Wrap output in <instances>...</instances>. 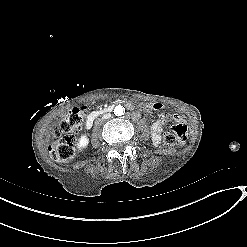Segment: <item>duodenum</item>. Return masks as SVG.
I'll return each mask as SVG.
<instances>
[{
	"label": "duodenum",
	"mask_w": 247,
	"mask_h": 247,
	"mask_svg": "<svg viewBox=\"0 0 247 247\" xmlns=\"http://www.w3.org/2000/svg\"><path fill=\"white\" fill-rule=\"evenodd\" d=\"M114 106H109L101 110L93 111L90 113L86 119L85 126L87 129L91 128L94 124V121L103 114L112 112Z\"/></svg>",
	"instance_id": "duodenum-1"
}]
</instances>
